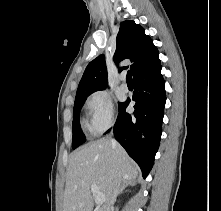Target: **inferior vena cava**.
Here are the masks:
<instances>
[{
	"label": "inferior vena cava",
	"instance_id": "602c4592",
	"mask_svg": "<svg viewBox=\"0 0 221 211\" xmlns=\"http://www.w3.org/2000/svg\"><path fill=\"white\" fill-rule=\"evenodd\" d=\"M111 144L112 146L116 149L117 148V142L114 139H111ZM119 188L117 186H115L112 189L111 195H110V200L109 203H107L103 209V211H112L113 209V204L116 200L117 197V193H118Z\"/></svg>",
	"mask_w": 221,
	"mask_h": 211
}]
</instances>
